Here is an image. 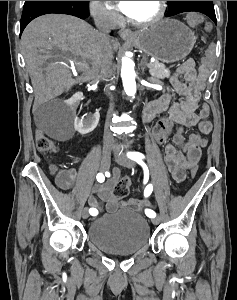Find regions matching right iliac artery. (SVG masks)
I'll return each instance as SVG.
<instances>
[{"label": "right iliac artery", "instance_id": "1", "mask_svg": "<svg viewBox=\"0 0 237 300\" xmlns=\"http://www.w3.org/2000/svg\"><path fill=\"white\" fill-rule=\"evenodd\" d=\"M96 179H97L98 182L102 183V182H104L105 177H104L103 173H98L97 176H96ZM89 213L96 215L98 213V211L95 208H90Z\"/></svg>", "mask_w": 237, "mask_h": 300}]
</instances>
